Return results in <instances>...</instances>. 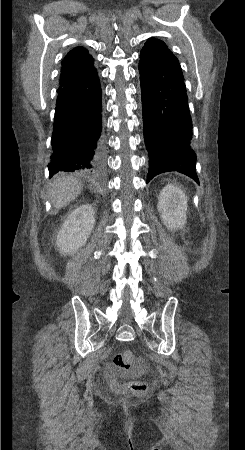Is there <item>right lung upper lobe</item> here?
Here are the masks:
<instances>
[{
	"label": "right lung upper lobe",
	"mask_w": 245,
	"mask_h": 450,
	"mask_svg": "<svg viewBox=\"0 0 245 450\" xmlns=\"http://www.w3.org/2000/svg\"><path fill=\"white\" fill-rule=\"evenodd\" d=\"M93 67V58L88 51L83 47L74 48L64 58L59 89L76 80Z\"/></svg>",
	"instance_id": "obj_1"
}]
</instances>
